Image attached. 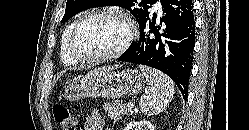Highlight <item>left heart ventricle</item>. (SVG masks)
Here are the masks:
<instances>
[{
	"label": "left heart ventricle",
	"instance_id": "1",
	"mask_svg": "<svg viewBox=\"0 0 249 130\" xmlns=\"http://www.w3.org/2000/svg\"><path fill=\"white\" fill-rule=\"evenodd\" d=\"M128 26L120 18L94 16L85 20L75 38V50L85 56L115 51L126 39Z\"/></svg>",
	"mask_w": 249,
	"mask_h": 130
}]
</instances>
